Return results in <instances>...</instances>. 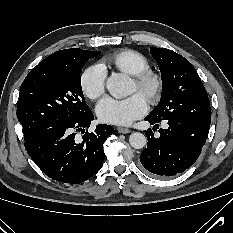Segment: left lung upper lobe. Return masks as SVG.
<instances>
[{
  "mask_svg": "<svg viewBox=\"0 0 233 233\" xmlns=\"http://www.w3.org/2000/svg\"><path fill=\"white\" fill-rule=\"evenodd\" d=\"M151 55L161 72L162 94L159 104L147 117L158 122L187 117L210 125L208 95L194 66L166 48H151Z\"/></svg>",
  "mask_w": 233,
  "mask_h": 233,
  "instance_id": "left-lung-upper-lobe-1",
  "label": "left lung upper lobe"
}]
</instances>
